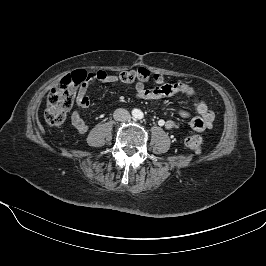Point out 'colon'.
<instances>
[{
    "mask_svg": "<svg viewBox=\"0 0 266 266\" xmlns=\"http://www.w3.org/2000/svg\"><path fill=\"white\" fill-rule=\"evenodd\" d=\"M90 78L86 71H75L62 78L60 83L50 91L44 112L45 121L49 125L60 126L65 122L67 112L73 105L77 88L86 85ZM119 79L125 84H133L150 80L157 82L160 76L152 74L145 68H140L136 71L122 72ZM185 145L191 151L199 153L203 147V138L198 134L190 135L186 138Z\"/></svg>",
    "mask_w": 266,
    "mask_h": 266,
    "instance_id": "1",
    "label": "colon"
}]
</instances>
